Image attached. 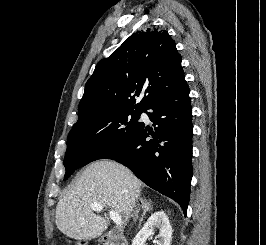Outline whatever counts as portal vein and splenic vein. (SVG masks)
Segmentation results:
<instances>
[{
	"label": "portal vein and splenic vein",
	"instance_id": "1",
	"mask_svg": "<svg viewBox=\"0 0 266 245\" xmlns=\"http://www.w3.org/2000/svg\"><path fill=\"white\" fill-rule=\"evenodd\" d=\"M91 209L92 211H102L103 207L100 203H92ZM109 217L114 221L115 225H122V217L115 213V211H109Z\"/></svg>",
	"mask_w": 266,
	"mask_h": 245
}]
</instances>
